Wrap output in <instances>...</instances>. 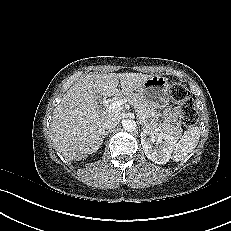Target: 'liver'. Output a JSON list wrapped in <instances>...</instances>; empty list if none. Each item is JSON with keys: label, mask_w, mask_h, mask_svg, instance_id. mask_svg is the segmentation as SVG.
Returning <instances> with one entry per match:
<instances>
[{"label": "liver", "mask_w": 231, "mask_h": 231, "mask_svg": "<svg viewBox=\"0 0 231 231\" xmlns=\"http://www.w3.org/2000/svg\"><path fill=\"white\" fill-rule=\"evenodd\" d=\"M150 77L152 75L132 72L93 73L80 77L53 112L51 136L56 151L68 161L80 160L96 152L106 133L104 121L113 115L99 111L95 95H126L139 89Z\"/></svg>", "instance_id": "6515ba94"}]
</instances>
